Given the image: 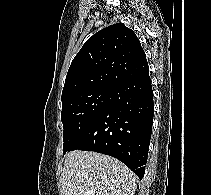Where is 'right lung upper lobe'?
<instances>
[{"label": "right lung upper lobe", "mask_w": 211, "mask_h": 195, "mask_svg": "<svg viewBox=\"0 0 211 195\" xmlns=\"http://www.w3.org/2000/svg\"><path fill=\"white\" fill-rule=\"evenodd\" d=\"M148 72L145 52L134 31L114 24L94 34L75 56L61 100L89 89H111Z\"/></svg>", "instance_id": "cb5924a9"}]
</instances>
